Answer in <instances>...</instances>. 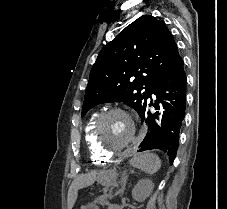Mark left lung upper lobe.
<instances>
[{
	"instance_id": "5c2ea615",
	"label": "left lung upper lobe",
	"mask_w": 227,
	"mask_h": 209,
	"mask_svg": "<svg viewBox=\"0 0 227 209\" xmlns=\"http://www.w3.org/2000/svg\"><path fill=\"white\" fill-rule=\"evenodd\" d=\"M180 57L166 24L143 15L100 51L86 88L82 117L97 104L120 101L140 114Z\"/></svg>"
}]
</instances>
